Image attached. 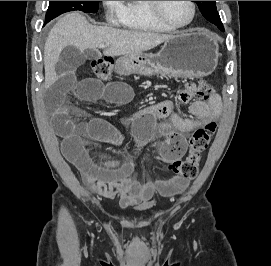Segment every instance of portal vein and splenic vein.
<instances>
[{
  "mask_svg": "<svg viewBox=\"0 0 271 266\" xmlns=\"http://www.w3.org/2000/svg\"><path fill=\"white\" fill-rule=\"evenodd\" d=\"M99 48H106V45H100Z\"/></svg>",
  "mask_w": 271,
  "mask_h": 266,
  "instance_id": "18ae733b",
  "label": "portal vein and splenic vein"
}]
</instances>
